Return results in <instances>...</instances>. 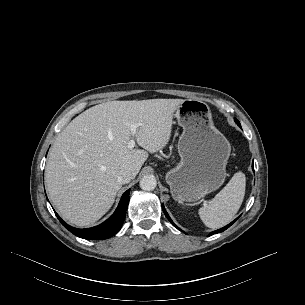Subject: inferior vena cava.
<instances>
[{
	"label": "inferior vena cava",
	"instance_id": "inferior-vena-cava-1",
	"mask_svg": "<svg viewBox=\"0 0 305 305\" xmlns=\"http://www.w3.org/2000/svg\"><path fill=\"white\" fill-rule=\"evenodd\" d=\"M135 177V172L130 169H122L119 172L118 181L122 184L129 183Z\"/></svg>",
	"mask_w": 305,
	"mask_h": 305
}]
</instances>
